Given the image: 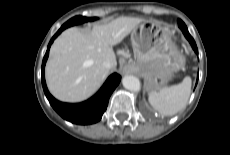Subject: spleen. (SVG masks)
<instances>
[{
    "label": "spleen",
    "mask_w": 230,
    "mask_h": 155,
    "mask_svg": "<svg viewBox=\"0 0 230 155\" xmlns=\"http://www.w3.org/2000/svg\"><path fill=\"white\" fill-rule=\"evenodd\" d=\"M191 84V78L187 76L180 84L161 87L150 93L149 102L161 115H174L186 106Z\"/></svg>",
    "instance_id": "1"
}]
</instances>
